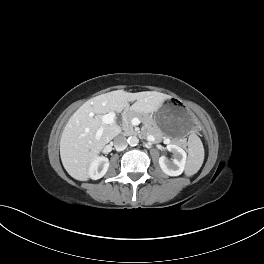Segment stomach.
Returning a JSON list of instances; mask_svg holds the SVG:
<instances>
[{
  "label": "stomach",
  "mask_w": 264,
  "mask_h": 264,
  "mask_svg": "<svg viewBox=\"0 0 264 264\" xmlns=\"http://www.w3.org/2000/svg\"><path fill=\"white\" fill-rule=\"evenodd\" d=\"M190 115L180 98L166 101L165 106L153 116L154 124L166 135L177 137L190 130Z\"/></svg>",
  "instance_id": "obj_1"
}]
</instances>
